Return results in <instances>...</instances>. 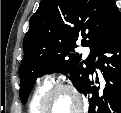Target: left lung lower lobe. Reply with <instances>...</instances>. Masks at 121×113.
<instances>
[{
    "instance_id": "0a47b994",
    "label": "left lung lower lobe",
    "mask_w": 121,
    "mask_h": 113,
    "mask_svg": "<svg viewBox=\"0 0 121 113\" xmlns=\"http://www.w3.org/2000/svg\"><path fill=\"white\" fill-rule=\"evenodd\" d=\"M95 67L103 72L106 86L99 91L90 79L86 83L82 93L90 96L89 113H121V19L111 37L100 47L91 74Z\"/></svg>"
}]
</instances>
